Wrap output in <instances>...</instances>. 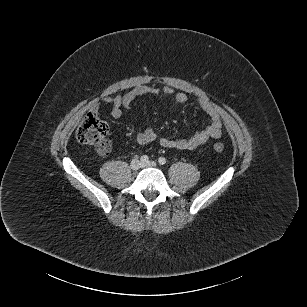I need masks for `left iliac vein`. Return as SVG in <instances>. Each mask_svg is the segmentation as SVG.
Returning <instances> with one entry per match:
<instances>
[{
  "label": "left iliac vein",
  "mask_w": 307,
  "mask_h": 307,
  "mask_svg": "<svg viewBox=\"0 0 307 307\" xmlns=\"http://www.w3.org/2000/svg\"><path fill=\"white\" fill-rule=\"evenodd\" d=\"M156 166V162H154V161H148V162H146V163H143L142 164V167H155Z\"/></svg>",
  "instance_id": "1"
}]
</instances>
